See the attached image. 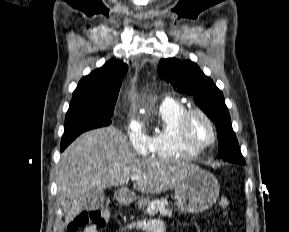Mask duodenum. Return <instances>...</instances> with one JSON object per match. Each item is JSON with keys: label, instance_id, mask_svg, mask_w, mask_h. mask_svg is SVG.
<instances>
[{"label": "duodenum", "instance_id": "410a0bca", "mask_svg": "<svg viewBox=\"0 0 289 232\" xmlns=\"http://www.w3.org/2000/svg\"><path fill=\"white\" fill-rule=\"evenodd\" d=\"M128 200H129V198H128V196H127L125 193L120 192V193L118 194V201H119V202L125 203V202H127Z\"/></svg>", "mask_w": 289, "mask_h": 232}]
</instances>
